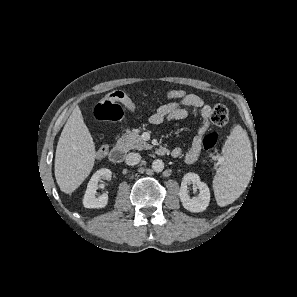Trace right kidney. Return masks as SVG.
Listing matches in <instances>:
<instances>
[{"label":"right kidney","instance_id":"1","mask_svg":"<svg viewBox=\"0 0 297 297\" xmlns=\"http://www.w3.org/2000/svg\"><path fill=\"white\" fill-rule=\"evenodd\" d=\"M112 172L109 169L102 168L96 171L91 177L86 192L83 197V205L85 208H104L108 203V194L104 193L101 196H96V191L98 189V182L104 178L106 180H111Z\"/></svg>","mask_w":297,"mask_h":297}]
</instances>
